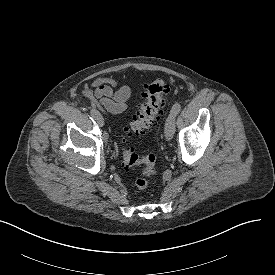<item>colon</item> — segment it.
<instances>
[{
  "mask_svg": "<svg viewBox=\"0 0 275 275\" xmlns=\"http://www.w3.org/2000/svg\"><path fill=\"white\" fill-rule=\"evenodd\" d=\"M169 91V85L162 79H156L147 85L142 93V103L131 122L125 126V132H132L138 136L149 133L160 118L165 105V97ZM122 155L126 170L131 171L142 165L141 174L135 180V187L138 191L146 190L156 172V157L153 154L139 157L134 150L126 148L122 150Z\"/></svg>",
  "mask_w": 275,
  "mask_h": 275,
  "instance_id": "5ec220e1",
  "label": "colon"
}]
</instances>
